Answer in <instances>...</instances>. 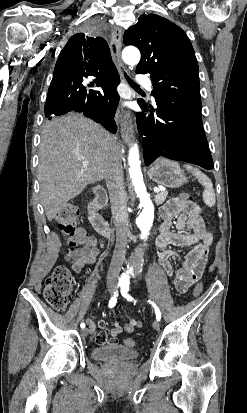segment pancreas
Segmentation results:
<instances>
[{
  "mask_svg": "<svg viewBox=\"0 0 247 413\" xmlns=\"http://www.w3.org/2000/svg\"><path fill=\"white\" fill-rule=\"evenodd\" d=\"M167 194H168V192H165V190H162V192H158V194H156V196H155L156 204H162V202H164V200H166Z\"/></svg>",
  "mask_w": 247,
  "mask_h": 413,
  "instance_id": "obj_1",
  "label": "pancreas"
}]
</instances>
